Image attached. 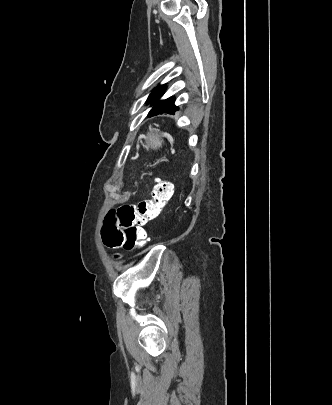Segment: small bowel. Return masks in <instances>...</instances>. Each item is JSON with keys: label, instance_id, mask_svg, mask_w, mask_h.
Here are the masks:
<instances>
[{"label": "small bowel", "instance_id": "1", "mask_svg": "<svg viewBox=\"0 0 332 405\" xmlns=\"http://www.w3.org/2000/svg\"><path fill=\"white\" fill-rule=\"evenodd\" d=\"M115 227H120L118 224H119V222H115ZM123 241H124V235H123Z\"/></svg>", "mask_w": 332, "mask_h": 405}]
</instances>
